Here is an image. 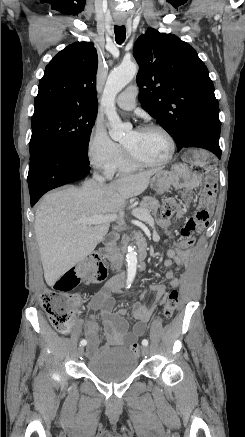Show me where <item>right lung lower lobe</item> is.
Wrapping results in <instances>:
<instances>
[{"label":"right lung lower lobe","instance_id":"98d812e1","mask_svg":"<svg viewBox=\"0 0 245 437\" xmlns=\"http://www.w3.org/2000/svg\"><path fill=\"white\" fill-rule=\"evenodd\" d=\"M89 171L87 155H71L52 147L37 151L30 158L28 173L31 206L47 191L83 179Z\"/></svg>","mask_w":245,"mask_h":437}]
</instances>
